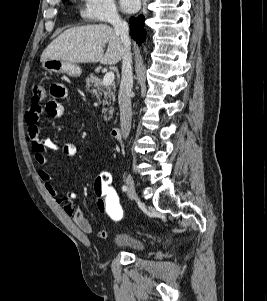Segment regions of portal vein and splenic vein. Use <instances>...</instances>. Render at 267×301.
<instances>
[{"label": "portal vein and splenic vein", "mask_w": 267, "mask_h": 301, "mask_svg": "<svg viewBox=\"0 0 267 301\" xmlns=\"http://www.w3.org/2000/svg\"><path fill=\"white\" fill-rule=\"evenodd\" d=\"M115 75L112 71L107 72L103 78V85L108 86L111 85L114 81Z\"/></svg>", "instance_id": "18ae733b"}]
</instances>
